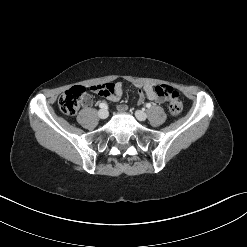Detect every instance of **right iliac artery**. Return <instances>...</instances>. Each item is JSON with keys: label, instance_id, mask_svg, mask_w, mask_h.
<instances>
[{"label": "right iliac artery", "instance_id": "right-iliac-artery-1", "mask_svg": "<svg viewBox=\"0 0 247 247\" xmlns=\"http://www.w3.org/2000/svg\"><path fill=\"white\" fill-rule=\"evenodd\" d=\"M99 107H100V108H106V107H107V104H106V103H100V104H99Z\"/></svg>", "mask_w": 247, "mask_h": 247}]
</instances>
